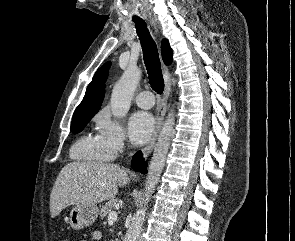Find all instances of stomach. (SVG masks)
<instances>
[{
  "label": "stomach",
  "instance_id": "1",
  "mask_svg": "<svg viewBox=\"0 0 295 241\" xmlns=\"http://www.w3.org/2000/svg\"><path fill=\"white\" fill-rule=\"evenodd\" d=\"M98 207L94 205H75L69 214V224L75 230L90 226L98 217Z\"/></svg>",
  "mask_w": 295,
  "mask_h": 241
}]
</instances>
